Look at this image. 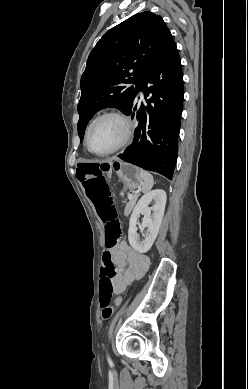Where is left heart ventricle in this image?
Here are the masks:
<instances>
[{
  "mask_svg": "<svg viewBox=\"0 0 248 389\" xmlns=\"http://www.w3.org/2000/svg\"><path fill=\"white\" fill-rule=\"evenodd\" d=\"M123 133L124 129L120 121L114 118L102 119L91 129L90 147L97 152L106 151L122 139Z\"/></svg>",
  "mask_w": 248,
  "mask_h": 389,
  "instance_id": "1",
  "label": "left heart ventricle"
}]
</instances>
